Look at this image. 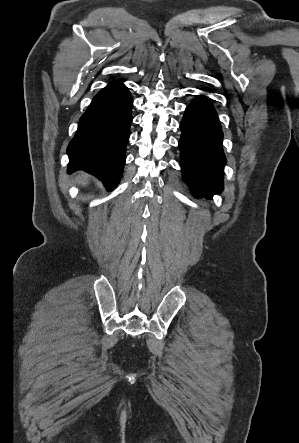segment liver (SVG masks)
Returning a JSON list of instances; mask_svg holds the SVG:
<instances>
[{"label": "liver", "mask_w": 299, "mask_h": 443, "mask_svg": "<svg viewBox=\"0 0 299 443\" xmlns=\"http://www.w3.org/2000/svg\"><path fill=\"white\" fill-rule=\"evenodd\" d=\"M89 180V175L87 173L81 172L77 177H76V182L80 185H86L88 183Z\"/></svg>", "instance_id": "obj_1"}]
</instances>
